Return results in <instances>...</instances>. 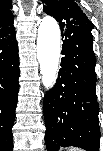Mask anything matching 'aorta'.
<instances>
[{
	"label": "aorta",
	"instance_id": "762f6f07",
	"mask_svg": "<svg viewBox=\"0 0 103 151\" xmlns=\"http://www.w3.org/2000/svg\"><path fill=\"white\" fill-rule=\"evenodd\" d=\"M60 58V28L57 21L46 16L38 28L37 59L40 64L42 83L48 90L57 79Z\"/></svg>",
	"mask_w": 103,
	"mask_h": 151
}]
</instances>
